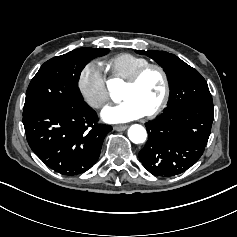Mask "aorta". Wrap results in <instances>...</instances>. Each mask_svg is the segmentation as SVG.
<instances>
[{"label":"aorta","instance_id":"762f6f07","mask_svg":"<svg viewBox=\"0 0 237 237\" xmlns=\"http://www.w3.org/2000/svg\"><path fill=\"white\" fill-rule=\"evenodd\" d=\"M129 139L134 144H143L147 140V131L141 125H133L128 133Z\"/></svg>","mask_w":237,"mask_h":237}]
</instances>
